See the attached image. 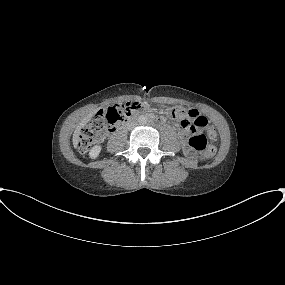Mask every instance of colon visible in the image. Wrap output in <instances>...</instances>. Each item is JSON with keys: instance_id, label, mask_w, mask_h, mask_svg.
<instances>
[{"instance_id": "1", "label": "colon", "mask_w": 285, "mask_h": 285, "mask_svg": "<svg viewBox=\"0 0 285 285\" xmlns=\"http://www.w3.org/2000/svg\"><path fill=\"white\" fill-rule=\"evenodd\" d=\"M144 107L145 104L139 101H125L110 107L106 112H99L76 134L77 148L80 152H87L94 144L101 141L105 133L110 130V125L123 121L126 116ZM182 113L183 111L180 108L171 110V115L176 118L180 117ZM181 125L183 128L190 130V136L184 145V151L187 153L201 152L204 161L211 159L216 153V148L208 143L207 137L211 139L216 137L214 128L209 127L206 134L199 132L198 130L206 125V120L201 115L192 119V122L182 121Z\"/></svg>"}]
</instances>
